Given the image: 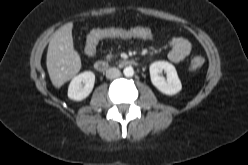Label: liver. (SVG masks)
<instances>
[{
  "label": "liver",
  "mask_w": 248,
  "mask_h": 165,
  "mask_svg": "<svg viewBox=\"0 0 248 165\" xmlns=\"http://www.w3.org/2000/svg\"><path fill=\"white\" fill-rule=\"evenodd\" d=\"M73 23L69 22L52 35L46 65L50 80L56 88L73 78L81 69V59L74 50L72 37Z\"/></svg>",
  "instance_id": "liver-1"
}]
</instances>
